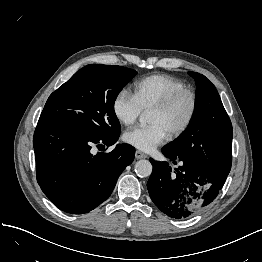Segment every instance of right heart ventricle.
Returning <instances> with one entry per match:
<instances>
[{
    "mask_svg": "<svg viewBox=\"0 0 262 262\" xmlns=\"http://www.w3.org/2000/svg\"><path fill=\"white\" fill-rule=\"evenodd\" d=\"M185 84L167 74H154L138 81L134 86V96L143 111L150 108L173 91L182 89Z\"/></svg>",
    "mask_w": 262,
    "mask_h": 262,
    "instance_id": "obj_1",
    "label": "right heart ventricle"
}]
</instances>
